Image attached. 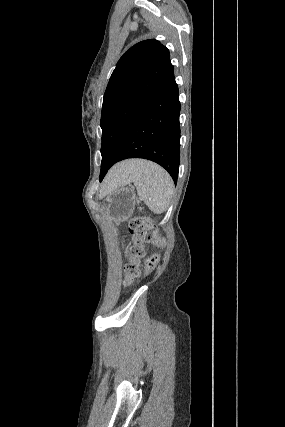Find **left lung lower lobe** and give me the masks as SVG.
Masks as SVG:
<instances>
[{"label": "left lung lower lobe", "mask_w": 285, "mask_h": 427, "mask_svg": "<svg viewBox=\"0 0 285 427\" xmlns=\"http://www.w3.org/2000/svg\"><path fill=\"white\" fill-rule=\"evenodd\" d=\"M174 72L162 83L129 123L113 164L144 158L165 168L176 183L180 162V102Z\"/></svg>", "instance_id": "1"}]
</instances>
